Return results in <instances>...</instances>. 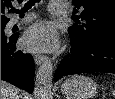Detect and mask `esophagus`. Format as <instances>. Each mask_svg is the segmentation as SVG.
Listing matches in <instances>:
<instances>
[{
  "instance_id": "obj_1",
  "label": "esophagus",
  "mask_w": 115,
  "mask_h": 99,
  "mask_svg": "<svg viewBox=\"0 0 115 99\" xmlns=\"http://www.w3.org/2000/svg\"><path fill=\"white\" fill-rule=\"evenodd\" d=\"M34 60H35V63L39 66L41 65L43 62L46 61V57L44 55H39V54H36L34 56Z\"/></svg>"
}]
</instances>
